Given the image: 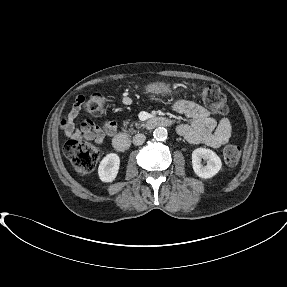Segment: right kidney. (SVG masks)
<instances>
[{
	"label": "right kidney",
	"instance_id": "ca27d5eb",
	"mask_svg": "<svg viewBox=\"0 0 287 287\" xmlns=\"http://www.w3.org/2000/svg\"><path fill=\"white\" fill-rule=\"evenodd\" d=\"M120 158L115 153L107 154L100 162L98 175L103 182H112L119 171Z\"/></svg>",
	"mask_w": 287,
	"mask_h": 287
}]
</instances>
